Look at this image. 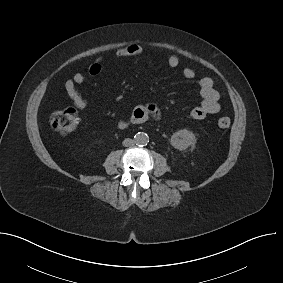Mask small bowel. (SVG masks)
I'll return each instance as SVG.
<instances>
[{
	"mask_svg": "<svg viewBox=\"0 0 283 283\" xmlns=\"http://www.w3.org/2000/svg\"><path fill=\"white\" fill-rule=\"evenodd\" d=\"M144 52L143 46L133 43L119 48L114 57L122 59L140 55ZM169 67L176 68L179 65V58L176 55H169L166 59ZM103 70V57H97L89 66V73L93 76L99 75ZM185 79H193L195 71L186 67L182 70ZM86 77L83 72H76L71 78L65 81V90L79 109H85L89 106V102L80 94L77 89L78 85L85 82ZM200 94L202 96L201 103L191 110V117L194 120H203L208 115L216 114L220 111V93L214 86V82L209 77H203L199 81ZM150 116L158 117L159 109L155 104H142L135 107L132 111L131 119L134 123L145 122Z\"/></svg>",
	"mask_w": 283,
	"mask_h": 283,
	"instance_id": "1",
	"label": "small bowel"
}]
</instances>
